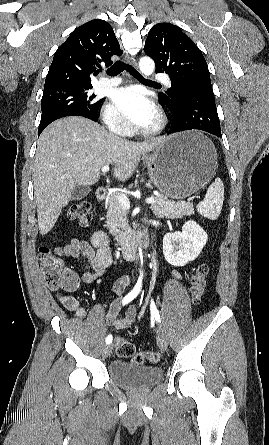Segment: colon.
I'll use <instances>...</instances> for the list:
<instances>
[{
	"label": "colon",
	"mask_w": 269,
	"mask_h": 445,
	"mask_svg": "<svg viewBox=\"0 0 269 445\" xmlns=\"http://www.w3.org/2000/svg\"><path fill=\"white\" fill-rule=\"evenodd\" d=\"M70 220L76 221L81 226H87L92 221L91 204L88 201H80L73 204L67 212ZM39 259L46 285L51 289H60L69 292L77 287L75 279L67 273L62 261L47 247L39 249ZM209 268L206 264L198 265L191 277L190 294L193 304L198 305L203 299ZM115 351L119 357L129 358L135 364L145 362L157 363L159 354L156 351L135 353L132 342L117 338L115 340Z\"/></svg>",
	"instance_id": "1"
}]
</instances>
